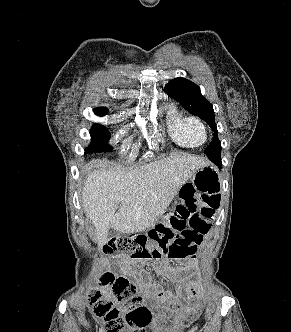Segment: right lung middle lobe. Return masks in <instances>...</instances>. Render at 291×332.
Wrapping results in <instances>:
<instances>
[{
    "label": "right lung middle lobe",
    "mask_w": 291,
    "mask_h": 332,
    "mask_svg": "<svg viewBox=\"0 0 291 332\" xmlns=\"http://www.w3.org/2000/svg\"><path fill=\"white\" fill-rule=\"evenodd\" d=\"M94 113L98 116H104L108 113V109L104 107H98L94 109ZM90 135L92 142L90 146L85 149V153L107 152L112 150V147L107 143V141L110 139V133L104 126L94 124L90 130Z\"/></svg>",
    "instance_id": "dd1d6c3e"
}]
</instances>
